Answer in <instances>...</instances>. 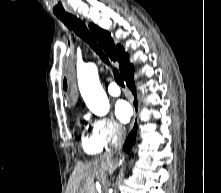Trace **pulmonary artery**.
I'll return each instance as SVG.
<instances>
[{"label": "pulmonary artery", "mask_w": 221, "mask_h": 193, "mask_svg": "<svg viewBox=\"0 0 221 193\" xmlns=\"http://www.w3.org/2000/svg\"><path fill=\"white\" fill-rule=\"evenodd\" d=\"M107 91L112 96H118L121 92L118 85L114 82H112L108 85Z\"/></svg>", "instance_id": "1"}]
</instances>
